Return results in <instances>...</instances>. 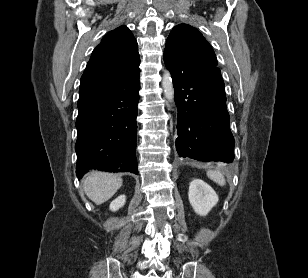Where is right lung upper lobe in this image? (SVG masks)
Listing matches in <instances>:
<instances>
[{"label":"right lung upper lobe","instance_id":"obj_1","mask_svg":"<svg viewBox=\"0 0 308 278\" xmlns=\"http://www.w3.org/2000/svg\"><path fill=\"white\" fill-rule=\"evenodd\" d=\"M137 41L126 26L107 33L92 52L81 77L79 99L114 93L140 76Z\"/></svg>","mask_w":308,"mask_h":278}]
</instances>
